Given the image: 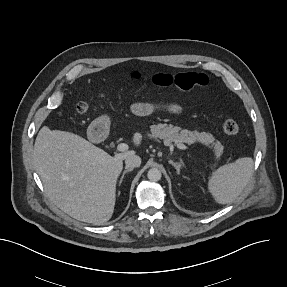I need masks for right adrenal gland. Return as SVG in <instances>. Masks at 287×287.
I'll list each match as a JSON object with an SVG mask.
<instances>
[{
  "mask_svg": "<svg viewBox=\"0 0 287 287\" xmlns=\"http://www.w3.org/2000/svg\"><path fill=\"white\" fill-rule=\"evenodd\" d=\"M132 170H133V168H127V167H125V170L123 171V174H122V176H121V178H120L119 185H121L125 174L128 173V172H130V171H132Z\"/></svg>",
  "mask_w": 287,
  "mask_h": 287,
  "instance_id": "2a0ac1e0",
  "label": "right adrenal gland"
}]
</instances>
